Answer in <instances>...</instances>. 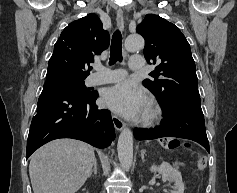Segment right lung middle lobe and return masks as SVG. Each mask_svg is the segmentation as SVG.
Returning a JSON list of instances; mask_svg holds the SVG:
<instances>
[{"mask_svg": "<svg viewBox=\"0 0 237 193\" xmlns=\"http://www.w3.org/2000/svg\"><path fill=\"white\" fill-rule=\"evenodd\" d=\"M84 79L61 71H47L44 87L62 88L76 96H87L90 91L85 87Z\"/></svg>", "mask_w": 237, "mask_h": 193, "instance_id": "right-lung-middle-lobe-1", "label": "right lung middle lobe"}]
</instances>
